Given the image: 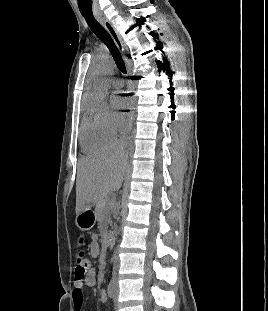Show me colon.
I'll use <instances>...</instances> for the list:
<instances>
[{
    "mask_svg": "<svg viewBox=\"0 0 268 311\" xmlns=\"http://www.w3.org/2000/svg\"><path fill=\"white\" fill-rule=\"evenodd\" d=\"M90 269V261L83 251H80L76 256L75 279L82 280Z\"/></svg>",
    "mask_w": 268,
    "mask_h": 311,
    "instance_id": "1",
    "label": "colon"
}]
</instances>
